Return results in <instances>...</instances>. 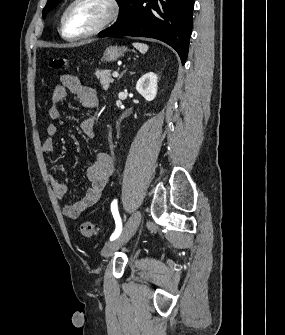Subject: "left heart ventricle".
<instances>
[{
	"label": "left heart ventricle",
	"mask_w": 285,
	"mask_h": 335,
	"mask_svg": "<svg viewBox=\"0 0 285 335\" xmlns=\"http://www.w3.org/2000/svg\"><path fill=\"white\" fill-rule=\"evenodd\" d=\"M107 14L108 9L100 3H80L74 8L73 25L81 29H90L101 23Z\"/></svg>",
	"instance_id": "left-heart-ventricle-1"
}]
</instances>
